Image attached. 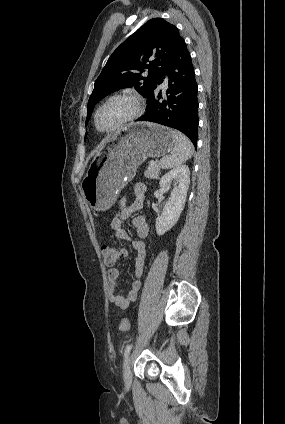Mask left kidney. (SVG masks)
Wrapping results in <instances>:
<instances>
[{
	"instance_id": "obj_1",
	"label": "left kidney",
	"mask_w": 285,
	"mask_h": 424,
	"mask_svg": "<svg viewBox=\"0 0 285 424\" xmlns=\"http://www.w3.org/2000/svg\"><path fill=\"white\" fill-rule=\"evenodd\" d=\"M172 181L176 186L171 191L170 199L165 204L161 215L156 219V232L159 236L165 234L176 224L183 211L190 184L189 167L181 165L163 175L159 182L161 190L168 191Z\"/></svg>"
}]
</instances>
